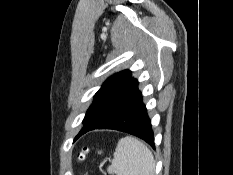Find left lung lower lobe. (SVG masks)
<instances>
[{"instance_id": "obj_1", "label": "left lung lower lobe", "mask_w": 233, "mask_h": 175, "mask_svg": "<svg viewBox=\"0 0 233 175\" xmlns=\"http://www.w3.org/2000/svg\"><path fill=\"white\" fill-rule=\"evenodd\" d=\"M94 129H114L135 135L154 148V137L138 82L133 84L95 123L78 134L76 139Z\"/></svg>"}]
</instances>
